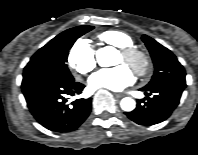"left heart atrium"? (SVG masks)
Returning a JSON list of instances; mask_svg holds the SVG:
<instances>
[{"label":"left heart atrium","mask_w":198,"mask_h":155,"mask_svg":"<svg viewBox=\"0 0 198 155\" xmlns=\"http://www.w3.org/2000/svg\"><path fill=\"white\" fill-rule=\"evenodd\" d=\"M134 74L126 64L110 69H101L89 78L92 88H106L112 91H121L134 82Z\"/></svg>","instance_id":"left-heart-atrium-1"}]
</instances>
